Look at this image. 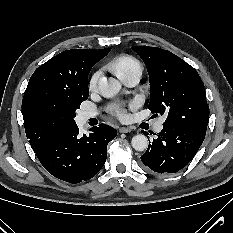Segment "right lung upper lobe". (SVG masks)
I'll list each match as a JSON object with an SVG mask.
<instances>
[{"label":"right lung upper lobe","instance_id":"cb5924a9","mask_svg":"<svg viewBox=\"0 0 233 233\" xmlns=\"http://www.w3.org/2000/svg\"><path fill=\"white\" fill-rule=\"evenodd\" d=\"M111 48L100 50L72 49L61 52L35 70L24 93L22 108L26 136L34 151L40 150L62 131H48L32 117V106L44 94L67 95L88 87V74L95 63Z\"/></svg>","mask_w":233,"mask_h":233}]
</instances>
